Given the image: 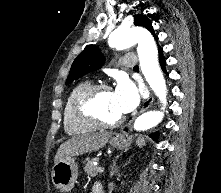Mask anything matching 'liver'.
<instances>
[{
  "instance_id": "obj_1",
  "label": "liver",
  "mask_w": 221,
  "mask_h": 193,
  "mask_svg": "<svg viewBox=\"0 0 221 193\" xmlns=\"http://www.w3.org/2000/svg\"><path fill=\"white\" fill-rule=\"evenodd\" d=\"M110 136L111 134L108 132L74 136L60 145L55 155L54 163L56 164L73 156L97 151L105 146Z\"/></svg>"
}]
</instances>
